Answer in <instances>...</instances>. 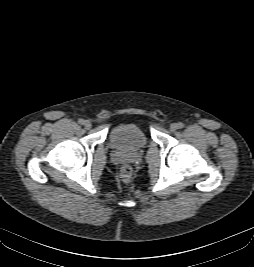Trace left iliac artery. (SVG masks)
<instances>
[{"label": "left iliac artery", "mask_w": 254, "mask_h": 267, "mask_svg": "<svg viewBox=\"0 0 254 267\" xmlns=\"http://www.w3.org/2000/svg\"><path fill=\"white\" fill-rule=\"evenodd\" d=\"M183 127H184V124L181 123V122H179V123H178V128L181 129V128H183Z\"/></svg>", "instance_id": "left-iliac-artery-1"}]
</instances>
